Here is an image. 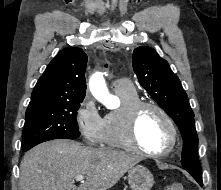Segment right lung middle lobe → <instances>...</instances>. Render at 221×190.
I'll list each match as a JSON object with an SVG mask.
<instances>
[{
	"label": "right lung middle lobe",
	"instance_id": "obj_1",
	"mask_svg": "<svg viewBox=\"0 0 221 190\" xmlns=\"http://www.w3.org/2000/svg\"><path fill=\"white\" fill-rule=\"evenodd\" d=\"M81 102H55L28 106L22 133V151L25 152L48 140L78 138L80 132L76 117Z\"/></svg>",
	"mask_w": 221,
	"mask_h": 190
}]
</instances>
